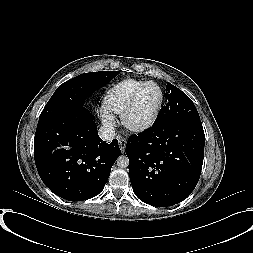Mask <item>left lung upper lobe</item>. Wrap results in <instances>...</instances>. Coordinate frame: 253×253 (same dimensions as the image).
<instances>
[{"label":"left lung upper lobe","mask_w":253,"mask_h":253,"mask_svg":"<svg viewBox=\"0 0 253 253\" xmlns=\"http://www.w3.org/2000/svg\"><path fill=\"white\" fill-rule=\"evenodd\" d=\"M166 105L160 110L153 126L178 120H200L198 111L191 99L180 89L167 83Z\"/></svg>","instance_id":"5c2ea615"}]
</instances>
